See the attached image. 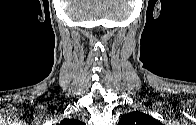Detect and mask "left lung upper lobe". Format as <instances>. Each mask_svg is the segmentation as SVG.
Listing matches in <instances>:
<instances>
[{
	"mask_svg": "<svg viewBox=\"0 0 196 125\" xmlns=\"http://www.w3.org/2000/svg\"><path fill=\"white\" fill-rule=\"evenodd\" d=\"M118 125H159V122L149 115L134 111L125 114Z\"/></svg>",
	"mask_w": 196,
	"mask_h": 125,
	"instance_id": "5c2ea615",
	"label": "left lung upper lobe"
}]
</instances>
